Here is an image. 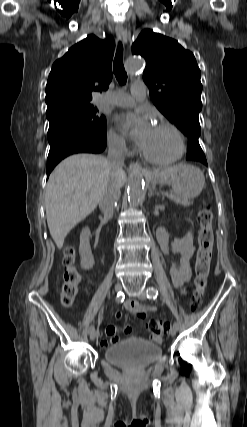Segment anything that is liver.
I'll list each match as a JSON object with an SVG mask.
<instances>
[{
  "mask_svg": "<svg viewBox=\"0 0 247 427\" xmlns=\"http://www.w3.org/2000/svg\"><path fill=\"white\" fill-rule=\"evenodd\" d=\"M113 181L122 187L126 173L112 170L105 157L75 154L64 159L51 173L45 196L47 224L61 249L67 234L97 207L103 191Z\"/></svg>",
  "mask_w": 247,
  "mask_h": 427,
  "instance_id": "1",
  "label": "liver"
}]
</instances>
